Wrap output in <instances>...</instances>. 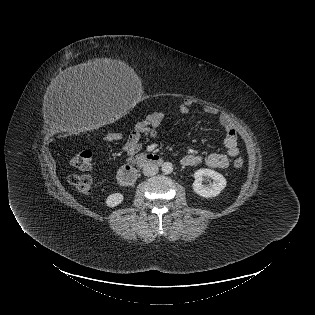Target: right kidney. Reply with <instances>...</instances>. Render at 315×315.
Wrapping results in <instances>:
<instances>
[{
  "label": "right kidney",
  "mask_w": 315,
  "mask_h": 315,
  "mask_svg": "<svg viewBox=\"0 0 315 315\" xmlns=\"http://www.w3.org/2000/svg\"><path fill=\"white\" fill-rule=\"evenodd\" d=\"M124 200V196L121 193H114L107 197L106 205L108 207H115L119 205Z\"/></svg>",
  "instance_id": "ca27d5eb"
}]
</instances>
